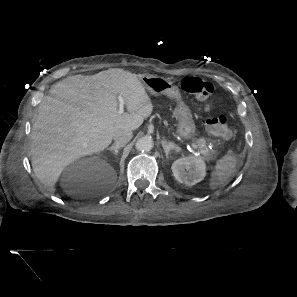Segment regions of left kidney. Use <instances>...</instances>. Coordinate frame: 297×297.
<instances>
[{
  "label": "left kidney",
  "instance_id": "1",
  "mask_svg": "<svg viewBox=\"0 0 297 297\" xmlns=\"http://www.w3.org/2000/svg\"><path fill=\"white\" fill-rule=\"evenodd\" d=\"M175 179L187 186H193L206 176V164L201 157L179 158L172 164Z\"/></svg>",
  "mask_w": 297,
  "mask_h": 297
}]
</instances>
